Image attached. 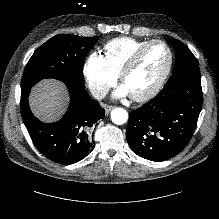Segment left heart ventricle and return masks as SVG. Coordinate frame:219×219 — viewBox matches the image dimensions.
<instances>
[{
    "label": "left heart ventricle",
    "instance_id": "left-heart-ventricle-1",
    "mask_svg": "<svg viewBox=\"0 0 219 219\" xmlns=\"http://www.w3.org/2000/svg\"><path fill=\"white\" fill-rule=\"evenodd\" d=\"M168 61L169 55L164 46H151L123 81L129 94H142L151 88L165 71Z\"/></svg>",
    "mask_w": 219,
    "mask_h": 219
}]
</instances>
